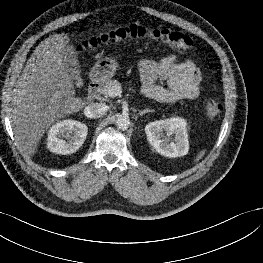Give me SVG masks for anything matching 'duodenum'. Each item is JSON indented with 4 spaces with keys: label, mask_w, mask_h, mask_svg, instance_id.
<instances>
[{
    "label": "duodenum",
    "mask_w": 263,
    "mask_h": 263,
    "mask_svg": "<svg viewBox=\"0 0 263 263\" xmlns=\"http://www.w3.org/2000/svg\"><path fill=\"white\" fill-rule=\"evenodd\" d=\"M101 85L98 81L94 80L90 82L88 89H87V96L89 99H94L99 91H100Z\"/></svg>",
    "instance_id": "410a0bca"
}]
</instances>
